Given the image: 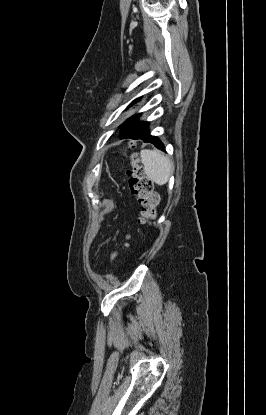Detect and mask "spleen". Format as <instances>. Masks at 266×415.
<instances>
[{
  "mask_svg": "<svg viewBox=\"0 0 266 415\" xmlns=\"http://www.w3.org/2000/svg\"><path fill=\"white\" fill-rule=\"evenodd\" d=\"M140 155L148 179L160 186L166 184L173 169L170 159L158 150L144 149Z\"/></svg>",
  "mask_w": 266,
  "mask_h": 415,
  "instance_id": "spleen-1",
  "label": "spleen"
}]
</instances>
